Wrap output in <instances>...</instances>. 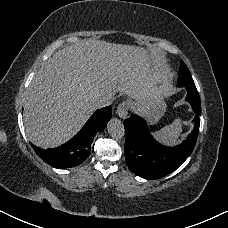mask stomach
Instances as JSON below:
<instances>
[{
	"mask_svg": "<svg viewBox=\"0 0 228 228\" xmlns=\"http://www.w3.org/2000/svg\"><path fill=\"white\" fill-rule=\"evenodd\" d=\"M149 101H153V103L149 104ZM128 102V105L131 106L133 111H141L145 113L151 124L157 123L166 111V104L163 101L162 96L147 95L145 100L139 101L137 99H133Z\"/></svg>",
	"mask_w": 228,
	"mask_h": 228,
	"instance_id": "1",
	"label": "stomach"
}]
</instances>
